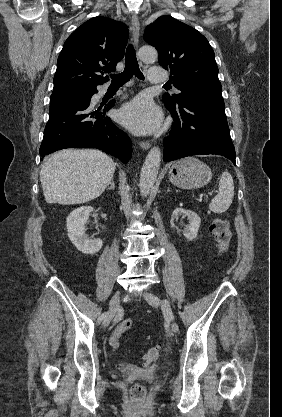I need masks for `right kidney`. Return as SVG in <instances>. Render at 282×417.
Listing matches in <instances>:
<instances>
[{
  "instance_id": "obj_1",
  "label": "right kidney",
  "mask_w": 282,
  "mask_h": 417,
  "mask_svg": "<svg viewBox=\"0 0 282 417\" xmlns=\"http://www.w3.org/2000/svg\"><path fill=\"white\" fill-rule=\"evenodd\" d=\"M93 206H79V209L72 211L66 219L68 237L75 245L78 251L85 255H94L102 249L103 241L101 239H89L85 233L84 225L89 219V213H92Z\"/></svg>"
}]
</instances>
